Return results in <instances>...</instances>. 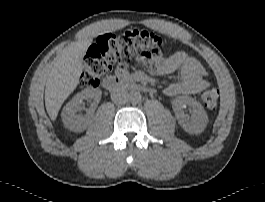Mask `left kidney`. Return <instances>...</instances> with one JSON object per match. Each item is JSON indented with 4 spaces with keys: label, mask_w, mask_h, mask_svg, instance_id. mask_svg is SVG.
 <instances>
[{
    "label": "left kidney",
    "mask_w": 265,
    "mask_h": 202,
    "mask_svg": "<svg viewBox=\"0 0 265 202\" xmlns=\"http://www.w3.org/2000/svg\"><path fill=\"white\" fill-rule=\"evenodd\" d=\"M189 107L191 117L185 114L184 109ZM172 108L178 124L189 134L202 133L208 123V116L203 106L188 96L177 97L172 101Z\"/></svg>",
    "instance_id": "5707ae66"
}]
</instances>
